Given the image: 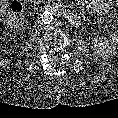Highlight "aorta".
<instances>
[{"label": "aorta", "mask_w": 118, "mask_h": 118, "mask_svg": "<svg viewBox=\"0 0 118 118\" xmlns=\"http://www.w3.org/2000/svg\"><path fill=\"white\" fill-rule=\"evenodd\" d=\"M40 19L44 24H50L53 21V14L49 11H45L40 15Z\"/></svg>", "instance_id": "obj_1"}]
</instances>
